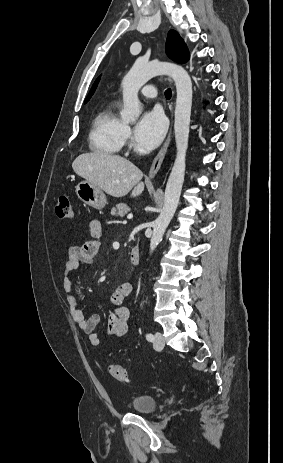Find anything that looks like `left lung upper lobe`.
I'll list each match as a JSON object with an SVG mask.
<instances>
[{
  "label": "left lung upper lobe",
  "mask_w": 283,
  "mask_h": 463,
  "mask_svg": "<svg viewBox=\"0 0 283 463\" xmlns=\"http://www.w3.org/2000/svg\"><path fill=\"white\" fill-rule=\"evenodd\" d=\"M166 53L169 58L178 63H185L189 60L188 49L182 38L174 30H170L168 33L166 41Z\"/></svg>",
  "instance_id": "left-lung-upper-lobe-1"
}]
</instances>
